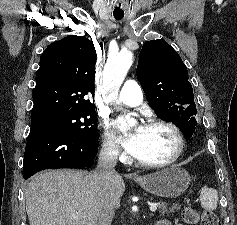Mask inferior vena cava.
<instances>
[{
  "label": "inferior vena cava",
  "mask_w": 237,
  "mask_h": 225,
  "mask_svg": "<svg viewBox=\"0 0 237 225\" xmlns=\"http://www.w3.org/2000/svg\"><path fill=\"white\" fill-rule=\"evenodd\" d=\"M118 147L111 142L102 145L97 168L94 172L96 181L97 217L98 225H111L114 218L115 205L110 194L112 183L118 174L114 167L118 159Z\"/></svg>",
  "instance_id": "602c4592"
}]
</instances>
